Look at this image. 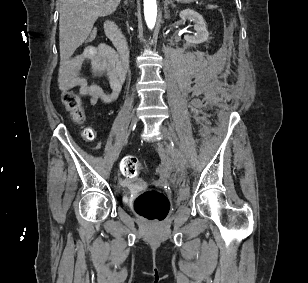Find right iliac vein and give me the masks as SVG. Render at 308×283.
<instances>
[{
  "instance_id": "obj_1",
  "label": "right iliac vein",
  "mask_w": 308,
  "mask_h": 283,
  "mask_svg": "<svg viewBox=\"0 0 308 283\" xmlns=\"http://www.w3.org/2000/svg\"><path fill=\"white\" fill-rule=\"evenodd\" d=\"M136 122H137V118H136V116H134L133 119H132V121H131L129 131L135 126ZM128 134H129V133H127V135H126V137H125L124 142L122 143V145H123V144L125 143V141L127 140ZM117 155H119V153H118Z\"/></svg>"
}]
</instances>
